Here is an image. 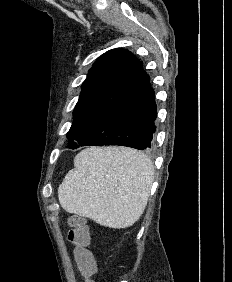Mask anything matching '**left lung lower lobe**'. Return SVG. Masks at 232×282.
<instances>
[{"label": "left lung lower lobe", "mask_w": 232, "mask_h": 282, "mask_svg": "<svg viewBox=\"0 0 232 282\" xmlns=\"http://www.w3.org/2000/svg\"><path fill=\"white\" fill-rule=\"evenodd\" d=\"M157 117L154 90L139 62L131 76L100 112L89 139L80 146L121 145L151 148Z\"/></svg>", "instance_id": "obj_1"}]
</instances>
